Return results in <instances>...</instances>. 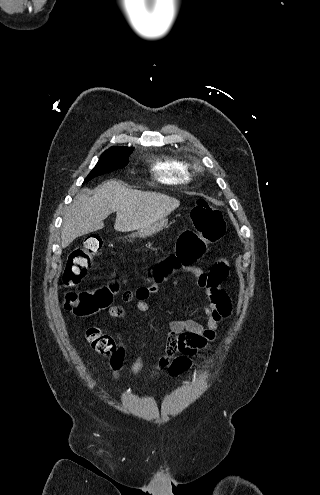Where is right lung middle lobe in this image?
<instances>
[{
    "label": "right lung middle lobe",
    "instance_id": "dd1d6c3e",
    "mask_svg": "<svg viewBox=\"0 0 320 495\" xmlns=\"http://www.w3.org/2000/svg\"><path fill=\"white\" fill-rule=\"evenodd\" d=\"M130 150H106L84 183L101 174L123 168L127 165Z\"/></svg>",
    "mask_w": 320,
    "mask_h": 495
}]
</instances>
